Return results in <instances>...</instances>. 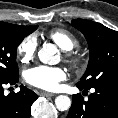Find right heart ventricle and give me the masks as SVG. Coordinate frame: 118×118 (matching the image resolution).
Returning a JSON list of instances; mask_svg holds the SVG:
<instances>
[{
	"mask_svg": "<svg viewBox=\"0 0 118 118\" xmlns=\"http://www.w3.org/2000/svg\"><path fill=\"white\" fill-rule=\"evenodd\" d=\"M47 36L63 51H71L77 45V39L75 36L62 28L49 31Z\"/></svg>",
	"mask_w": 118,
	"mask_h": 118,
	"instance_id": "obj_1",
	"label": "right heart ventricle"
}]
</instances>
